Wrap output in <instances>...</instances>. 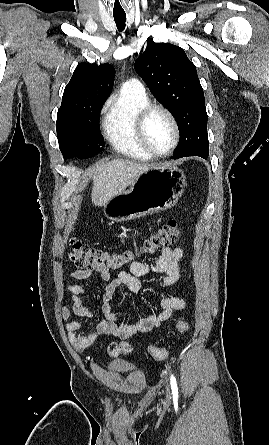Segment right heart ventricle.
<instances>
[{
	"label": "right heart ventricle",
	"instance_id": "obj_1",
	"mask_svg": "<svg viewBox=\"0 0 269 445\" xmlns=\"http://www.w3.org/2000/svg\"><path fill=\"white\" fill-rule=\"evenodd\" d=\"M149 103L145 92L122 87L103 120L105 136L114 150L139 161L153 158L140 145L135 130L139 111Z\"/></svg>",
	"mask_w": 269,
	"mask_h": 445
}]
</instances>
